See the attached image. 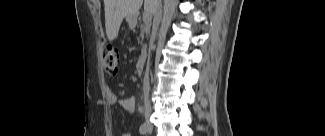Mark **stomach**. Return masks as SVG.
I'll return each mask as SVG.
<instances>
[{
  "label": "stomach",
  "mask_w": 325,
  "mask_h": 136,
  "mask_svg": "<svg viewBox=\"0 0 325 136\" xmlns=\"http://www.w3.org/2000/svg\"><path fill=\"white\" fill-rule=\"evenodd\" d=\"M126 19L130 26L134 27L136 25V18L134 16H127Z\"/></svg>",
  "instance_id": "0dacf381"
}]
</instances>
